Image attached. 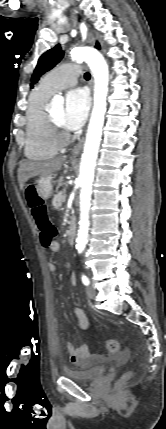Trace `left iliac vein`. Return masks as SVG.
<instances>
[{"instance_id":"left-iliac-vein-1","label":"left iliac vein","mask_w":166,"mask_h":429,"mask_svg":"<svg viewBox=\"0 0 166 429\" xmlns=\"http://www.w3.org/2000/svg\"><path fill=\"white\" fill-rule=\"evenodd\" d=\"M86 294H87L88 298L94 299L96 296V291L93 287L88 286V287H86Z\"/></svg>"}]
</instances>
